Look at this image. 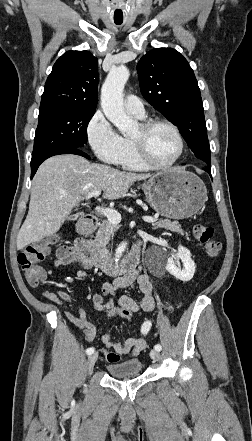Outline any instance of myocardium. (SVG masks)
<instances>
[{
    "label": "myocardium",
    "instance_id": "f54148a6",
    "mask_svg": "<svg viewBox=\"0 0 252 441\" xmlns=\"http://www.w3.org/2000/svg\"><path fill=\"white\" fill-rule=\"evenodd\" d=\"M140 128H141V134L142 137L140 138H134L132 137L131 140L133 142L136 154L139 158V160L148 168V169H153V170H160V169H167L173 165H175L183 156L184 151H185V143H184V139L183 136L180 132V130L178 129V127L173 124L172 122L168 121V120H164V119H150V120H146L143 121L142 123H140ZM156 126H166L168 128H170L173 133L175 134L178 144H179V148H178V152L175 155V157L170 160L169 162L166 163H156L154 162L146 149L145 143H144V136L147 135L154 127Z\"/></svg>",
    "mask_w": 252,
    "mask_h": 441
}]
</instances>
